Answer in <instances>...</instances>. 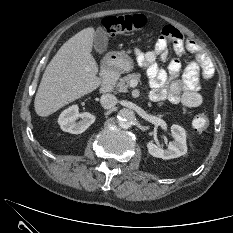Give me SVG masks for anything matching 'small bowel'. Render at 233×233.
<instances>
[{
	"mask_svg": "<svg viewBox=\"0 0 233 233\" xmlns=\"http://www.w3.org/2000/svg\"><path fill=\"white\" fill-rule=\"evenodd\" d=\"M172 46L178 56L192 53L194 60L185 65L178 58L169 61L167 69L159 67L157 60H168V48ZM138 63L147 70L153 101H169L187 107H198L203 98L200 94L201 78L210 80L214 76L213 64L206 52L193 40L185 38L173 26H165L155 46L142 52L135 50Z\"/></svg>",
	"mask_w": 233,
	"mask_h": 233,
	"instance_id": "c3829d8e",
	"label": "small bowel"
}]
</instances>
